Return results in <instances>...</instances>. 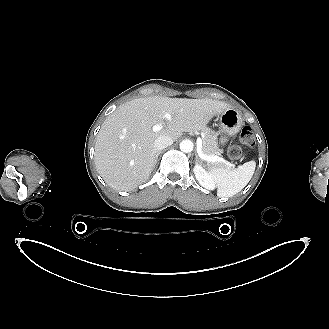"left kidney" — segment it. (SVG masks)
I'll return each instance as SVG.
<instances>
[{
  "mask_svg": "<svg viewBox=\"0 0 329 329\" xmlns=\"http://www.w3.org/2000/svg\"><path fill=\"white\" fill-rule=\"evenodd\" d=\"M194 174L199 184L206 189L214 190L215 182L211 176H209L208 172L204 169V167L200 164H196L194 166Z\"/></svg>",
  "mask_w": 329,
  "mask_h": 329,
  "instance_id": "1",
  "label": "left kidney"
}]
</instances>
